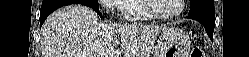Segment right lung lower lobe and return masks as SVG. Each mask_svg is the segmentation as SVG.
<instances>
[{
  "label": "right lung lower lobe",
  "mask_w": 249,
  "mask_h": 57,
  "mask_svg": "<svg viewBox=\"0 0 249 57\" xmlns=\"http://www.w3.org/2000/svg\"><path fill=\"white\" fill-rule=\"evenodd\" d=\"M69 4H83V0H43L40 11V25L42 26L45 19L56 9ZM84 5V4H83ZM102 18L98 9H94Z\"/></svg>",
  "instance_id": "1"
}]
</instances>
